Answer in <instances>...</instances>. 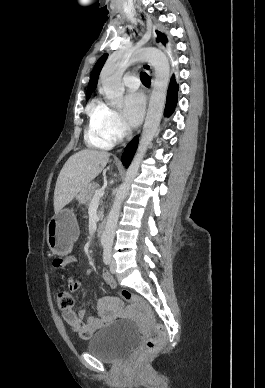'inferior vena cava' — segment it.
<instances>
[{
    "mask_svg": "<svg viewBox=\"0 0 265 388\" xmlns=\"http://www.w3.org/2000/svg\"><path fill=\"white\" fill-rule=\"evenodd\" d=\"M126 130H130V128H126Z\"/></svg>",
    "mask_w": 265,
    "mask_h": 388,
    "instance_id": "1",
    "label": "inferior vena cava"
}]
</instances>
